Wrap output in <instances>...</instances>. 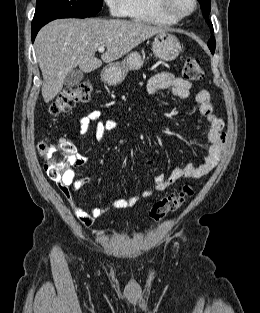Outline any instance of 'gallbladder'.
Returning a JSON list of instances; mask_svg holds the SVG:
<instances>
[{"label":"gallbladder","mask_w":260,"mask_h":313,"mask_svg":"<svg viewBox=\"0 0 260 313\" xmlns=\"http://www.w3.org/2000/svg\"><path fill=\"white\" fill-rule=\"evenodd\" d=\"M84 74L81 70H72L69 72L64 80V85L68 88L77 86L83 79Z\"/></svg>","instance_id":"obj_1"}]
</instances>
